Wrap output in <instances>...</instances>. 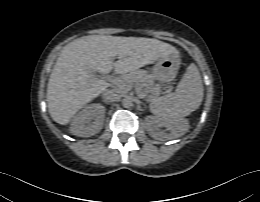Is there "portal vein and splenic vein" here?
Returning <instances> with one entry per match:
<instances>
[{"label":"portal vein and splenic vein","instance_id":"18ae733b","mask_svg":"<svg viewBox=\"0 0 260 202\" xmlns=\"http://www.w3.org/2000/svg\"><path fill=\"white\" fill-rule=\"evenodd\" d=\"M92 77H96V75H95V74H93V75H92ZM106 79H107V80H109V81H113V82H116V81H117V78H115V77H112V76H106ZM141 96H142L143 98H145V97H146V95H145V94H143V93H141Z\"/></svg>","mask_w":260,"mask_h":202}]
</instances>
